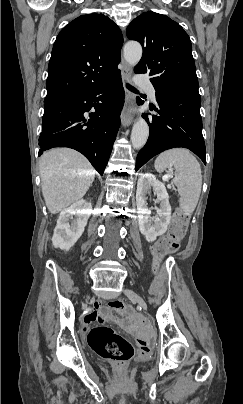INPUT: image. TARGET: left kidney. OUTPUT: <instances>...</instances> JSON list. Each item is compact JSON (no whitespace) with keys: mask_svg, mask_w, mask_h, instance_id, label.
<instances>
[{"mask_svg":"<svg viewBox=\"0 0 243 404\" xmlns=\"http://www.w3.org/2000/svg\"><path fill=\"white\" fill-rule=\"evenodd\" d=\"M149 190H153L157 196V202L160 204V208H155L158 218H150L151 210H148L146 204V194ZM136 204L139 230L147 242H155L157 236H162L167 232V226L171 220V206L164 184L156 180L155 176L149 172L140 174L137 182Z\"/></svg>","mask_w":243,"mask_h":404,"instance_id":"1","label":"left kidney"}]
</instances>
